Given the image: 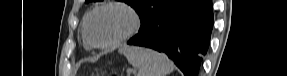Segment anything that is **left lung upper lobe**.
I'll return each mask as SVG.
<instances>
[{"instance_id": "obj_1", "label": "left lung upper lobe", "mask_w": 287, "mask_h": 76, "mask_svg": "<svg viewBox=\"0 0 287 76\" xmlns=\"http://www.w3.org/2000/svg\"><path fill=\"white\" fill-rule=\"evenodd\" d=\"M101 0H86V3ZM135 9L141 18V28L149 21L151 17L164 10L174 0H120ZM139 30V31H140Z\"/></svg>"}]
</instances>
